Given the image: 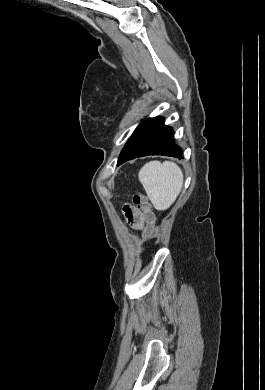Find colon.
Wrapping results in <instances>:
<instances>
[{
    "instance_id": "1",
    "label": "colon",
    "mask_w": 265,
    "mask_h": 390,
    "mask_svg": "<svg viewBox=\"0 0 265 390\" xmlns=\"http://www.w3.org/2000/svg\"><path fill=\"white\" fill-rule=\"evenodd\" d=\"M132 203L135 208L142 211L146 223L150 225L154 223L155 215L151 209V205L147 197L144 194L140 192L134 193L132 197Z\"/></svg>"
}]
</instances>
